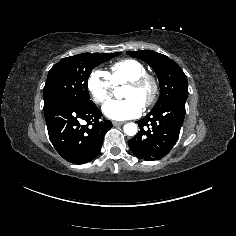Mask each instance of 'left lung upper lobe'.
<instances>
[{
  "label": "left lung upper lobe",
  "instance_id": "5c2ea615",
  "mask_svg": "<svg viewBox=\"0 0 236 236\" xmlns=\"http://www.w3.org/2000/svg\"><path fill=\"white\" fill-rule=\"evenodd\" d=\"M128 55L142 59L155 71L160 82V97L155 110L175 98H187V77L182 69L169 57L152 50L129 51Z\"/></svg>",
  "mask_w": 236,
  "mask_h": 236
}]
</instances>
